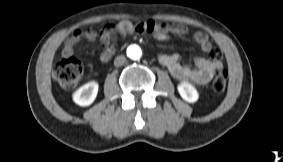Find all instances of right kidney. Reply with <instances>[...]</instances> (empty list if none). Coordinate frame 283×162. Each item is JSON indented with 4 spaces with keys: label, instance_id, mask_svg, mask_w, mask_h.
Instances as JSON below:
<instances>
[{
    "label": "right kidney",
    "instance_id": "right-kidney-1",
    "mask_svg": "<svg viewBox=\"0 0 283 162\" xmlns=\"http://www.w3.org/2000/svg\"><path fill=\"white\" fill-rule=\"evenodd\" d=\"M98 83L91 81L80 87L73 94V101L79 106H89L95 100L98 93Z\"/></svg>",
    "mask_w": 283,
    "mask_h": 162
}]
</instances>
